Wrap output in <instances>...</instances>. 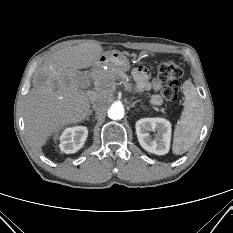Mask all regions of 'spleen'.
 I'll use <instances>...</instances> for the list:
<instances>
[{
  "label": "spleen",
  "mask_w": 233,
  "mask_h": 233,
  "mask_svg": "<svg viewBox=\"0 0 233 233\" xmlns=\"http://www.w3.org/2000/svg\"><path fill=\"white\" fill-rule=\"evenodd\" d=\"M184 111L175 126L172 151L181 155L188 151L197 140L202 127L203 109L201 98L190 81L183 84Z\"/></svg>",
  "instance_id": "1"
}]
</instances>
